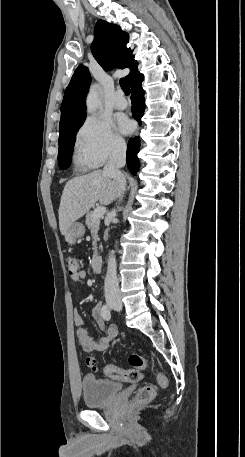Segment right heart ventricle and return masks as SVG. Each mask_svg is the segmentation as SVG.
Instances as JSON below:
<instances>
[{"label":"right heart ventricle","instance_id":"1","mask_svg":"<svg viewBox=\"0 0 245 457\" xmlns=\"http://www.w3.org/2000/svg\"><path fill=\"white\" fill-rule=\"evenodd\" d=\"M77 154L80 157V159L83 160L88 166H91L93 164L92 160L87 156V154L80 146H77Z\"/></svg>","mask_w":245,"mask_h":457}]
</instances>
